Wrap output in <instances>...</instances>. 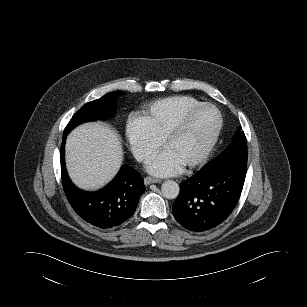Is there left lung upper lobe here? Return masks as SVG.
I'll use <instances>...</instances> for the list:
<instances>
[{"label":"left lung upper lobe","instance_id":"left-lung-upper-lobe-1","mask_svg":"<svg viewBox=\"0 0 307 307\" xmlns=\"http://www.w3.org/2000/svg\"><path fill=\"white\" fill-rule=\"evenodd\" d=\"M218 166L247 167V140L243 131L236 133L233 143L219 156L204 165L202 169Z\"/></svg>","mask_w":307,"mask_h":307}]
</instances>
